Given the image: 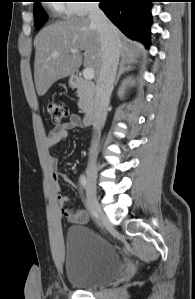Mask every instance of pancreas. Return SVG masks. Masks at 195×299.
<instances>
[{"instance_id": "1", "label": "pancreas", "mask_w": 195, "mask_h": 299, "mask_svg": "<svg viewBox=\"0 0 195 299\" xmlns=\"http://www.w3.org/2000/svg\"><path fill=\"white\" fill-rule=\"evenodd\" d=\"M77 96L79 97L78 107L83 111H88L93 105V92L90 85L84 81L77 89Z\"/></svg>"}]
</instances>
